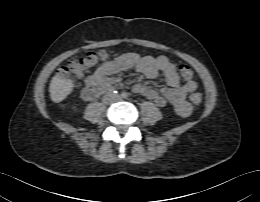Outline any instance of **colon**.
<instances>
[{"label":"colon","instance_id":"1","mask_svg":"<svg viewBox=\"0 0 260 202\" xmlns=\"http://www.w3.org/2000/svg\"><path fill=\"white\" fill-rule=\"evenodd\" d=\"M104 54H93L88 57L71 63L68 67L62 69V73L71 74L77 78L82 77L89 70H91L100 60L104 58ZM193 70L187 66L180 67V78L184 83H189L194 80ZM190 101L193 104H199L202 100V95L199 91L191 92L189 95Z\"/></svg>","mask_w":260,"mask_h":202}]
</instances>
